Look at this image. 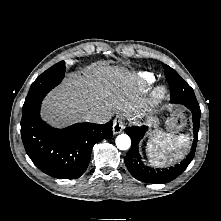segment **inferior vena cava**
Here are the masks:
<instances>
[{
  "instance_id": "inferior-vena-cava-1",
  "label": "inferior vena cava",
  "mask_w": 221,
  "mask_h": 221,
  "mask_svg": "<svg viewBox=\"0 0 221 221\" xmlns=\"http://www.w3.org/2000/svg\"><path fill=\"white\" fill-rule=\"evenodd\" d=\"M96 118H98V115L95 114V113H90V114L88 115V119H89V120H91V119H96Z\"/></svg>"
}]
</instances>
